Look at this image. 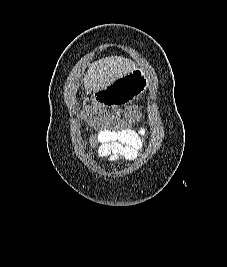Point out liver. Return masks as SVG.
<instances>
[{"label":"liver","mask_w":227,"mask_h":267,"mask_svg":"<svg viewBox=\"0 0 227 267\" xmlns=\"http://www.w3.org/2000/svg\"><path fill=\"white\" fill-rule=\"evenodd\" d=\"M135 69V64L123 57H106L95 61L84 77V87L87 91H98V87H108L114 82V77H122Z\"/></svg>","instance_id":"obj_1"}]
</instances>
